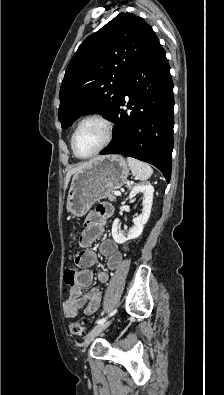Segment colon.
I'll use <instances>...</instances> for the list:
<instances>
[{
    "label": "colon",
    "instance_id": "5ec220e1",
    "mask_svg": "<svg viewBox=\"0 0 224 395\" xmlns=\"http://www.w3.org/2000/svg\"><path fill=\"white\" fill-rule=\"evenodd\" d=\"M74 238V236H72ZM76 280V270L74 268H67L64 271V282L67 286L73 287ZM69 331L72 335H83L84 326L79 321H73L69 324Z\"/></svg>",
    "mask_w": 224,
    "mask_h": 395
}]
</instances>
